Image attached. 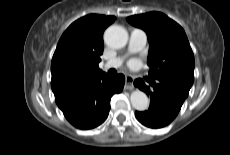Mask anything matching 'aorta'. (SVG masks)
Instances as JSON below:
<instances>
[{"label": "aorta", "mask_w": 230, "mask_h": 155, "mask_svg": "<svg viewBox=\"0 0 230 155\" xmlns=\"http://www.w3.org/2000/svg\"><path fill=\"white\" fill-rule=\"evenodd\" d=\"M104 41L109 47L119 49L126 45L128 33L124 27L112 25L105 30ZM130 101L133 108L138 111H144L149 107L147 95L140 90H135L131 93Z\"/></svg>", "instance_id": "aorta-1"}]
</instances>
